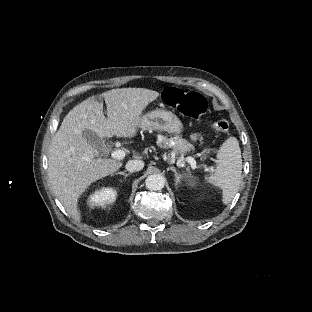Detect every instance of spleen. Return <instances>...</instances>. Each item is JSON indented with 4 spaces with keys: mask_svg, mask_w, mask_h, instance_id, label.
Here are the masks:
<instances>
[{
    "mask_svg": "<svg viewBox=\"0 0 312 312\" xmlns=\"http://www.w3.org/2000/svg\"><path fill=\"white\" fill-rule=\"evenodd\" d=\"M242 171L239 144L234 137L228 138L219 148L215 160V170L205 178L208 185L222 190V204L228 205L238 190ZM190 189H196L200 182L188 179Z\"/></svg>",
    "mask_w": 312,
    "mask_h": 312,
    "instance_id": "spleen-1",
    "label": "spleen"
}]
</instances>
